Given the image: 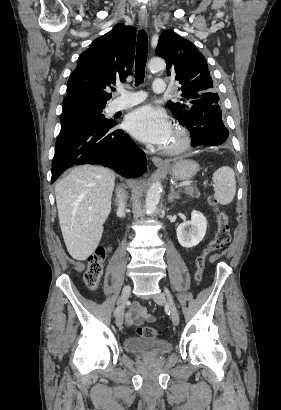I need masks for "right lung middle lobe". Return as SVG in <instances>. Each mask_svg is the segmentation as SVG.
<instances>
[{"label": "right lung middle lobe", "instance_id": "dd1d6c3e", "mask_svg": "<svg viewBox=\"0 0 281 410\" xmlns=\"http://www.w3.org/2000/svg\"><path fill=\"white\" fill-rule=\"evenodd\" d=\"M104 108L105 106L90 104H76L63 107L59 136L83 125L111 122L112 120L104 117Z\"/></svg>", "mask_w": 281, "mask_h": 410}]
</instances>
